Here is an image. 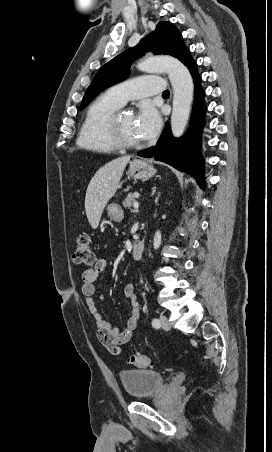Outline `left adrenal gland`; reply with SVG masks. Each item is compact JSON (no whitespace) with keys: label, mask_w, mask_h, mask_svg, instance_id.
<instances>
[{"label":"left adrenal gland","mask_w":272,"mask_h":452,"mask_svg":"<svg viewBox=\"0 0 272 452\" xmlns=\"http://www.w3.org/2000/svg\"><path fill=\"white\" fill-rule=\"evenodd\" d=\"M159 196H160V192L158 193V196H157V199H156V201H158V199H159Z\"/></svg>","instance_id":"a2214340"}]
</instances>
